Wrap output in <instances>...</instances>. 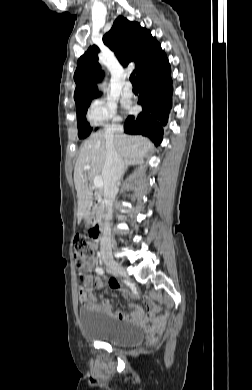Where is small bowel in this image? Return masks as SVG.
I'll return each instance as SVG.
<instances>
[{
  "label": "small bowel",
  "mask_w": 252,
  "mask_h": 390,
  "mask_svg": "<svg viewBox=\"0 0 252 390\" xmlns=\"http://www.w3.org/2000/svg\"><path fill=\"white\" fill-rule=\"evenodd\" d=\"M96 265L97 259L92 257L80 270V273L84 274V276L81 277L83 285L79 289V302L81 306L85 309L95 310L118 320L139 322L141 324L151 323L150 331L152 333H162L166 325L167 317L157 316L159 306L155 304L149 296H141L132 293L127 289H121L123 295L142 298L146 304V309H144L139 305L130 303L129 306L133 308V313L130 315L123 314L120 311H112L113 303L109 299L96 300L91 296L90 292L93 286L97 289H107L109 293H111V290L119 288L118 282L114 279L104 281L100 276L93 279L90 272Z\"/></svg>",
  "instance_id": "obj_1"
}]
</instances>
